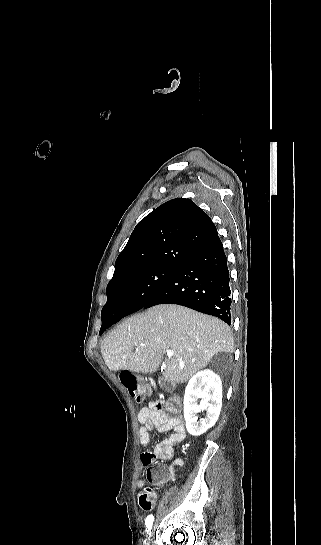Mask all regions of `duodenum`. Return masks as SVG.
Segmentation results:
<instances>
[{
	"mask_svg": "<svg viewBox=\"0 0 321 545\" xmlns=\"http://www.w3.org/2000/svg\"><path fill=\"white\" fill-rule=\"evenodd\" d=\"M163 387H164L165 389H167V390H170V389L172 388V385H171L170 382H167V381H166V382L163 383Z\"/></svg>",
	"mask_w": 321,
	"mask_h": 545,
	"instance_id": "1",
	"label": "duodenum"
}]
</instances>
